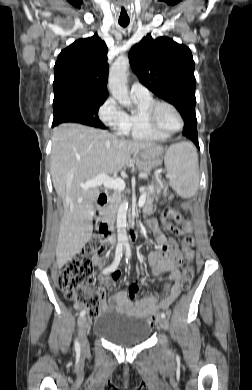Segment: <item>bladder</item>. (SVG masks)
<instances>
[{
	"instance_id": "obj_1",
	"label": "bladder",
	"mask_w": 252,
	"mask_h": 390,
	"mask_svg": "<svg viewBox=\"0 0 252 390\" xmlns=\"http://www.w3.org/2000/svg\"><path fill=\"white\" fill-rule=\"evenodd\" d=\"M93 332L115 345L132 347L147 341L151 327L139 317L106 314L95 321Z\"/></svg>"
}]
</instances>
